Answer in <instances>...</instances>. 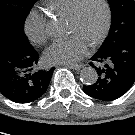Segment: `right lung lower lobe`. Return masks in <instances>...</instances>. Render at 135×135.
Wrapping results in <instances>:
<instances>
[{
	"label": "right lung lower lobe",
	"mask_w": 135,
	"mask_h": 135,
	"mask_svg": "<svg viewBox=\"0 0 135 135\" xmlns=\"http://www.w3.org/2000/svg\"><path fill=\"white\" fill-rule=\"evenodd\" d=\"M39 54L9 30L0 29V93L16 103H29L47 90L55 68L35 70Z\"/></svg>",
	"instance_id": "obj_1"
}]
</instances>
